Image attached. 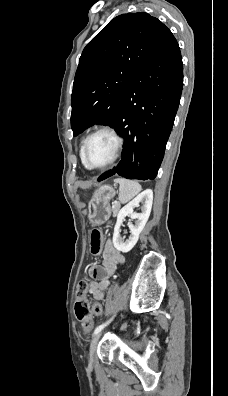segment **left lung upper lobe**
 <instances>
[{
    "label": "left lung upper lobe",
    "instance_id": "5c2ea615",
    "mask_svg": "<svg viewBox=\"0 0 228 396\" xmlns=\"http://www.w3.org/2000/svg\"><path fill=\"white\" fill-rule=\"evenodd\" d=\"M165 27L145 12L111 20L84 48L71 98L76 136L94 123L114 126L128 89Z\"/></svg>",
    "mask_w": 228,
    "mask_h": 396
}]
</instances>
